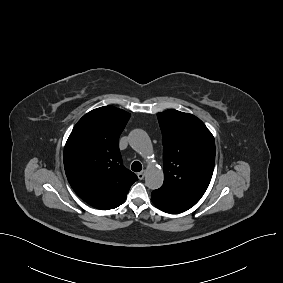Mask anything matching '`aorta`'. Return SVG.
Masks as SVG:
<instances>
[{
  "mask_svg": "<svg viewBox=\"0 0 283 283\" xmlns=\"http://www.w3.org/2000/svg\"><path fill=\"white\" fill-rule=\"evenodd\" d=\"M130 146L146 157L152 152V144L148 134L141 130L135 129L129 134ZM164 180L163 171L153 165H148L145 175V185L155 190L162 186Z\"/></svg>",
  "mask_w": 283,
  "mask_h": 283,
  "instance_id": "1",
  "label": "aorta"
}]
</instances>
